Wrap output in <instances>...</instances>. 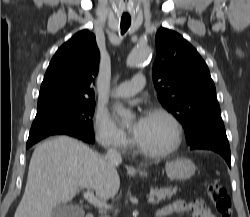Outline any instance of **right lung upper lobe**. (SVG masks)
Wrapping results in <instances>:
<instances>
[{
    "label": "right lung upper lobe",
    "instance_id": "1",
    "mask_svg": "<svg viewBox=\"0 0 250 217\" xmlns=\"http://www.w3.org/2000/svg\"><path fill=\"white\" fill-rule=\"evenodd\" d=\"M100 60L95 35L82 30L53 56L41 84L37 111L94 101L92 84Z\"/></svg>",
    "mask_w": 250,
    "mask_h": 217
}]
</instances>
